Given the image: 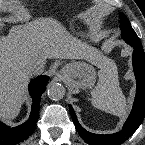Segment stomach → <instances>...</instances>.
Segmentation results:
<instances>
[{
    "mask_svg": "<svg viewBox=\"0 0 145 145\" xmlns=\"http://www.w3.org/2000/svg\"><path fill=\"white\" fill-rule=\"evenodd\" d=\"M63 76L66 80H71L85 88H91L95 80V71L83 62H72L63 68Z\"/></svg>",
    "mask_w": 145,
    "mask_h": 145,
    "instance_id": "obj_1",
    "label": "stomach"
}]
</instances>
